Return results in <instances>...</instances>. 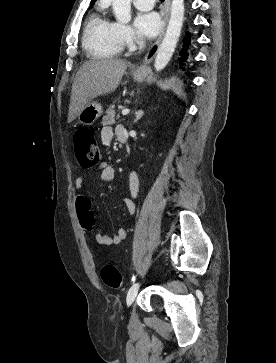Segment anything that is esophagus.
Returning a JSON list of instances; mask_svg holds the SVG:
<instances>
[{"label": "esophagus", "instance_id": "34e87169", "mask_svg": "<svg viewBox=\"0 0 276 363\" xmlns=\"http://www.w3.org/2000/svg\"><path fill=\"white\" fill-rule=\"evenodd\" d=\"M170 2L171 0H165L164 1V5L162 7V15H163V19H162V24H161V29H160V33L159 36L156 40V42L151 46V48L149 49L148 53L146 54L143 63L141 66H139L135 72L138 74H142L146 71V68L148 66V64H150V62L153 60L154 56L156 55L159 45L163 39L164 36V32L166 29V25L168 22V18H169V12H170Z\"/></svg>", "mask_w": 276, "mask_h": 363}]
</instances>
